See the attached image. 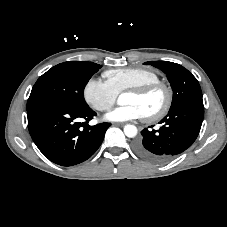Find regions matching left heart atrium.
<instances>
[{
    "label": "left heart atrium",
    "instance_id": "left-heart-atrium-1",
    "mask_svg": "<svg viewBox=\"0 0 227 227\" xmlns=\"http://www.w3.org/2000/svg\"><path fill=\"white\" fill-rule=\"evenodd\" d=\"M106 119L115 122H124L144 117L141 109L133 104H124L106 114Z\"/></svg>",
    "mask_w": 227,
    "mask_h": 227
}]
</instances>
